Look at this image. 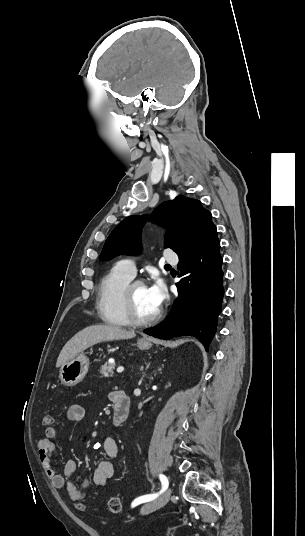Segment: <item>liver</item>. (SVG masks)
<instances>
[{
    "label": "liver",
    "instance_id": "1",
    "mask_svg": "<svg viewBox=\"0 0 305 536\" xmlns=\"http://www.w3.org/2000/svg\"><path fill=\"white\" fill-rule=\"evenodd\" d=\"M136 334L127 332L124 328L119 326H88L84 328L82 332L75 334L64 348H62L58 360L56 362V368H60L63 364H67L69 360H73L79 352L87 350L94 344H100V342H112V340H130L135 338Z\"/></svg>",
    "mask_w": 305,
    "mask_h": 536
}]
</instances>
